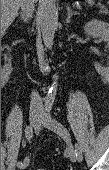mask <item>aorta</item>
Instances as JSON below:
<instances>
[{
    "label": "aorta",
    "instance_id": "762f6f07",
    "mask_svg": "<svg viewBox=\"0 0 109 170\" xmlns=\"http://www.w3.org/2000/svg\"><path fill=\"white\" fill-rule=\"evenodd\" d=\"M58 23L56 0H43L40 14V30L45 46L51 49L54 34ZM56 95V86L47 94L46 103H53Z\"/></svg>",
    "mask_w": 109,
    "mask_h": 170
}]
</instances>
